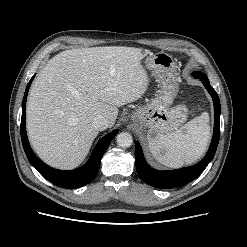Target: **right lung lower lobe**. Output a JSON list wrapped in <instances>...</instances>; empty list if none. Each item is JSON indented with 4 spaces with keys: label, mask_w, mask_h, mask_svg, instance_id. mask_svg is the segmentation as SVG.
Returning <instances> with one entry per match:
<instances>
[{
    "label": "right lung lower lobe",
    "mask_w": 247,
    "mask_h": 247,
    "mask_svg": "<svg viewBox=\"0 0 247 247\" xmlns=\"http://www.w3.org/2000/svg\"><path fill=\"white\" fill-rule=\"evenodd\" d=\"M35 75L31 78L29 81L23 102H22V118H21V126H20V132H21V139L23 148L25 150L26 156L31 163V165L48 181L51 183L68 189H74L82 187L88 183H90L97 175L101 158L106 151L107 147L109 146L112 139L116 136L118 133V130H114L102 139L99 140L97 143L95 149L93 150V153L88 160V162L81 168L71 171H63V170H57L54 168L49 167L44 162H42L40 159L37 158V156L32 151L28 138L26 133V127H25V108H26V100L28 95V90L30 88V85L34 79Z\"/></svg>",
    "instance_id": "98d812e1"
}]
</instances>
